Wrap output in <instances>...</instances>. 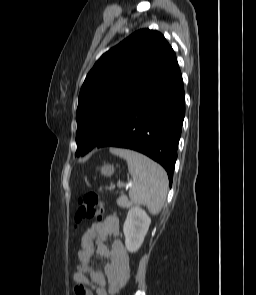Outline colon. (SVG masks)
<instances>
[{
	"instance_id": "obj_1",
	"label": "colon",
	"mask_w": 256,
	"mask_h": 295,
	"mask_svg": "<svg viewBox=\"0 0 256 295\" xmlns=\"http://www.w3.org/2000/svg\"><path fill=\"white\" fill-rule=\"evenodd\" d=\"M105 211V204L97 193L87 192L78 199V210L75 216L77 223L84 219L96 218L101 220Z\"/></svg>"
}]
</instances>
